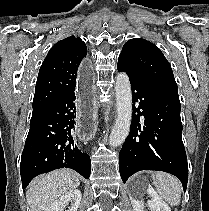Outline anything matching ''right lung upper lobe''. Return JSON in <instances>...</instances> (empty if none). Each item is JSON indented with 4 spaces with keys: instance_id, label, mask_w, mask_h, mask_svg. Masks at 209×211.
Segmentation results:
<instances>
[{
    "instance_id": "obj_1",
    "label": "right lung upper lobe",
    "mask_w": 209,
    "mask_h": 211,
    "mask_svg": "<svg viewBox=\"0 0 209 211\" xmlns=\"http://www.w3.org/2000/svg\"><path fill=\"white\" fill-rule=\"evenodd\" d=\"M86 53L85 43L75 36L57 42L50 49L39 70L33 112L75 90L77 70Z\"/></svg>"
}]
</instances>
